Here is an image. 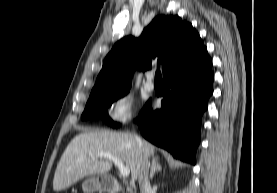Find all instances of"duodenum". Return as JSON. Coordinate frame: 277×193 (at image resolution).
I'll use <instances>...</instances> for the list:
<instances>
[{
    "label": "duodenum",
    "instance_id": "410a0bca",
    "mask_svg": "<svg viewBox=\"0 0 277 193\" xmlns=\"http://www.w3.org/2000/svg\"><path fill=\"white\" fill-rule=\"evenodd\" d=\"M103 189L109 193H119L121 191V185L115 179H107L102 184Z\"/></svg>",
    "mask_w": 277,
    "mask_h": 193
}]
</instances>
